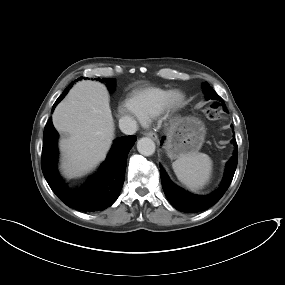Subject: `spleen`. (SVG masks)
<instances>
[{
  "label": "spleen",
  "instance_id": "3e777b00",
  "mask_svg": "<svg viewBox=\"0 0 285 285\" xmlns=\"http://www.w3.org/2000/svg\"><path fill=\"white\" fill-rule=\"evenodd\" d=\"M172 167L179 181L192 191L203 188L212 174L211 158L199 152L179 156Z\"/></svg>",
  "mask_w": 285,
  "mask_h": 285
}]
</instances>
